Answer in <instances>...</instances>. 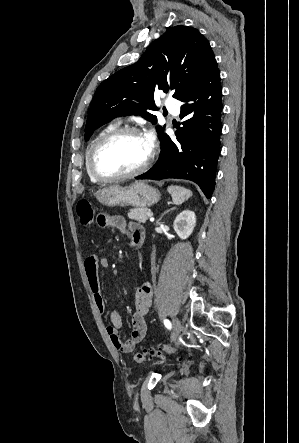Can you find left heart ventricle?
Returning <instances> with one entry per match:
<instances>
[{
    "label": "left heart ventricle",
    "mask_w": 299,
    "mask_h": 443,
    "mask_svg": "<svg viewBox=\"0 0 299 443\" xmlns=\"http://www.w3.org/2000/svg\"><path fill=\"white\" fill-rule=\"evenodd\" d=\"M149 151L144 136L126 134L105 144L97 153L95 161L104 174H121L139 167Z\"/></svg>",
    "instance_id": "obj_1"
}]
</instances>
